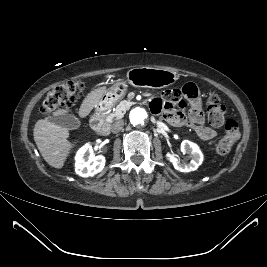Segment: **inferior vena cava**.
Returning a JSON list of instances; mask_svg holds the SVG:
<instances>
[{"label":"inferior vena cava","mask_w":267,"mask_h":267,"mask_svg":"<svg viewBox=\"0 0 267 267\" xmlns=\"http://www.w3.org/2000/svg\"><path fill=\"white\" fill-rule=\"evenodd\" d=\"M123 126H124V121L123 120H118L116 122H114L112 125H111V131L113 133H118L120 132L121 130H123Z\"/></svg>","instance_id":"inferior-vena-cava-1"}]
</instances>
